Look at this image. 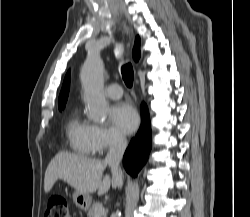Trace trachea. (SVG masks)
<instances>
[{
	"label": "trachea",
	"mask_w": 250,
	"mask_h": 217,
	"mask_svg": "<svg viewBox=\"0 0 250 217\" xmlns=\"http://www.w3.org/2000/svg\"><path fill=\"white\" fill-rule=\"evenodd\" d=\"M121 73L127 87H132L134 79V72L132 65L130 63L123 65L121 68Z\"/></svg>",
	"instance_id": "1"
}]
</instances>
